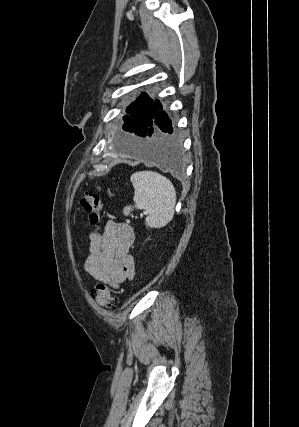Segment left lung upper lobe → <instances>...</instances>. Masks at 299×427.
Segmentation results:
<instances>
[{"instance_id": "5c2ea615", "label": "left lung upper lobe", "mask_w": 299, "mask_h": 427, "mask_svg": "<svg viewBox=\"0 0 299 427\" xmlns=\"http://www.w3.org/2000/svg\"><path fill=\"white\" fill-rule=\"evenodd\" d=\"M161 106L158 100L154 101L148 98L146 94H142L127 108V113L130 116H124L123 129L134 132L138 136H144V133L152 126L153 119Z\"/></svg>"}]
</instances>
